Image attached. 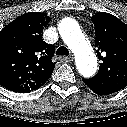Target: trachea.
Instances as JSON below:
<instances>
[{
	"label": "trachea",
	"instance_id": "1",
	"mask_svg": "<svg viewBox=\"0 0 127 127\" xmlns=\"http://www.w3.org/2000/svg\"><path fill=\"white\" fill-rule=\"evenodd\" d=\"M56 55L60 56H68L69 55V51L65 46H61L57 49L56 51Z\"/></svg>",
	"mask_w": 127,
	"mask_h": 127
}]
</instances>
